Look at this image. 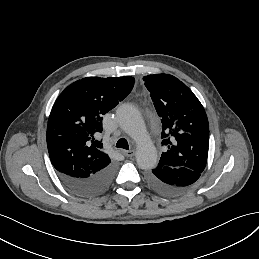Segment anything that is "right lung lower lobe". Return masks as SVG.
Wrapping results in <instances>:
<instances>
[{
    "label": "right lung lower lobe",
    "instance_id": "98d812e1",
    "mask_svg": "<svg viewBox=\"0 0 259 259\" xmlns=\"http://www.w3.org/2000/svg\"><path fill=\"white\" fill-rule=\"evenodd\" d=\"M115 167L110 163L105 169L86 178L72 177L57 171L62 183L73 193L81 196H95L104 192L111 184Z\"/></svg>",
    "mask_w": 259,
    "mask_h": 259
}]
</instances>
